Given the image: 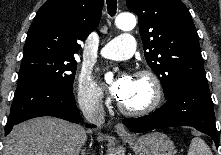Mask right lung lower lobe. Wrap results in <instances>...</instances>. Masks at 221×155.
Here are the masks:
<instances>
[{
  "mask_svg": "<svg viewBox=\"0 0 221 155\" xmlns=\"http://www.w3.org/2000/svg\"><path fill=\"white\" fill-rule=\"evenodd\" d=\"M39 116H54L79 123L80 114L73 92L39 79L23 83L15 92L5 135L14 125Z\"/></svg>",
  "mask_w": 221,
  "mask_h": 155,
  "instance_id": "right-lung-lower-lobe-1",
  "label": "right lung lower lobe"
}]
</instances>
